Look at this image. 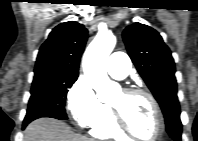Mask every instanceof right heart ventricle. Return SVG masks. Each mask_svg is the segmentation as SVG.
I'll use <instances>...</instances> for the list:
<instances>
[{
    "mask_svg": "<svg viewBox=\"0 0 198 141\" xmlns=\"http://www.w3.org/2000/svg\"><path fill=\"white\" fill-rule=\"evenodd\" d=\"M90 133L102 139L122 140L126 137L115 125L112 112L106 105L103 118L90 127Z\"/></svg>",
    "mask_w": 198,
    "mask_h": 141,
    "instance_id": "obj_1",
    "label": "right heart ventricle"
}]
</instances>
